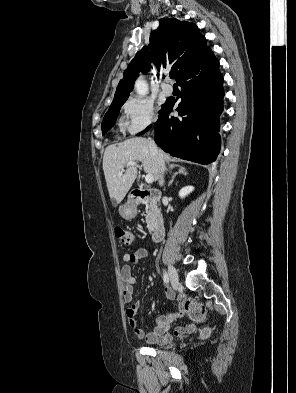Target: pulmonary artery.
Here are the masks:
<instances>
[{
    "label": "pulmonary artery",
    "instance_id": "e3ab8cb5",
    "mask_svg": "<svg viewBox=\"0 0 296 393\" xmlns=\"http://www.w3.org/2000/svg\"><path fill=\"white\" fill-rule=\"evenodd\" d=\"M162 91L165 95H171L173 92V87L172 85L169 83V77L166 76L165 77V83L162 86Z\"/></svg>",
    "mask_w": 296,
    "mask_h": 393
}]
</instances>
